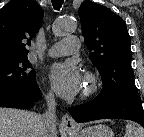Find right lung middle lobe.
Segmentation results:
<instances>
[{"label": "right lung middle lobe", "instance_id": "1", "mask_svg": "<svg viewBox=\"0 0 144 137\" xmlns=\"http://www.w3.org/2000/svg\"><path fill=\"white\" fill-rule=\"evenodd\" d=\"M27 57L0 64V91H17L28 96L38 93L35 71Z\"/></svg>", "mask_w": 144, "mask_h": 137}]
</instances>
